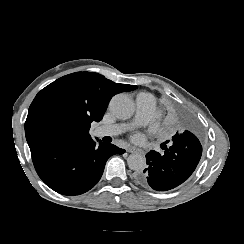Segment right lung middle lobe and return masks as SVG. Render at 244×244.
Returning <instances> with one entry per match:
<instances>
[{
    "label": "right lung middle lobe",
    "mask_w": 244,
    "mask_h": 244,
    "mask_svg": "<svg viewBox=\"0 0 244 244\" xmlns=\"http://www.w3.org/2000/svg\"><path fill=\"white\" fill-rule=\"evenodd\" d=\"M67 127L68 117L61 113L44 116L37 121V131L43 134H56Z\"/></svg>",
    "instance_id": "dd1d6c3e"
}]
</instances>
